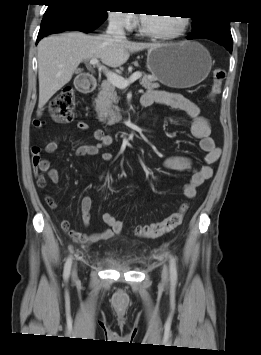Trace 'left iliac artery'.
<instances>
[{
    "mask_svg": "<svg viewBox=\"0 0 261 355\" xmlns=\"http://www.w3.org/2000/svg\"><path fill=\"white\" fill-rule=\"evenodd\" d=\"M170 278H171V283L176 284V282H177V266H176V260L173 256H170Z\"/></svg>",
    "mask_w": 261,
    "mask_h": 355,
    "instance_id": "left-iliac-artery-1",
    "label": "left iliac artery"
}]
</instances>
